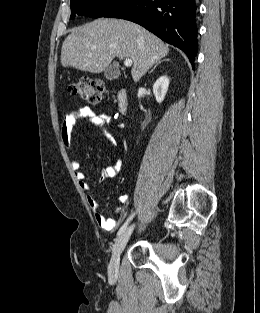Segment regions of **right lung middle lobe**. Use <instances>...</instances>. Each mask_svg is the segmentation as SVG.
Masks as SVG:
<instances>
[{
    "label": "right lung middle lobe",
    "mask_w": 260,
    "mask_h": 313,
    "mask_svg": "<svg viewBox=\"0 0 260 313\" xmlns=\"http://www.w3.org/2000/svg\"><path fill=\"white\" fill-rule=\"evenodd\" d=\"M124 0H71V19L76 15L94 18L103 17L106 13Z\"/></svg>",
    "instance_id": "right-lung-middle-lobe-1"
}]
</instances>
